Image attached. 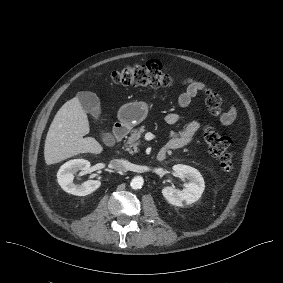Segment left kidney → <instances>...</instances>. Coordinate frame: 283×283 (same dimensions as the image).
<instances>
[{
  "mask_svg": "<svg viewBox=\"0 0 283 283\" xmlns=\"http://www.w3.org/2000/svg\"><path fill=\"white\" fill-rule=\"evenodd\" d=\"M173 170L177 177L188 182L184 184L183 190L170 186L164 187L162 194L166 200L175 206L189 205L199 200L205 189L204 179L200 172L191 166L182 164L174 165Z\"/></svg>",
  "mask_w": 283,
  "mask_h": 283,
  "instance_id": "1",
  "label": "left kidney"
}]
</instances>
